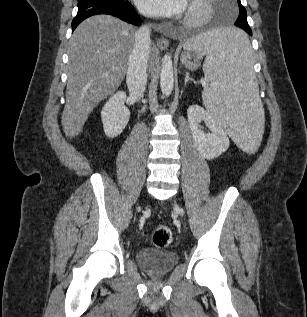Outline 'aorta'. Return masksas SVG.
<instances>
[{"instance_id": "obj_1", "label": "aorta", "mask_w": 307, "mask_h": 317, "mask_svg": "<svg viewBox=\"0 0 307 317\" xmlns=\"http://www.w3.org/2000/svg\"><path fill=\"white\" fill-rule=\"evenodd\" d=\"M174 87L173 62L171 54L167 53L162 59L161 73H160V88L162 94L169 96Z\"/></svg>"}]
</instances>
